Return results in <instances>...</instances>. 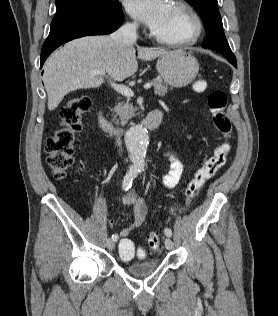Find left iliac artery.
Here are the masks:
<instances>
[{
  "label": "left iliac artery",
  "mask_w": 278,
  "mask_h": 316,
  "mask_svg": "<svg viewBox=\"0 0 278 316\" xmlns=\"http://www.w3.org/2000/svg\"><path fill=\"white\" fill-rule=\"evenodd\" d=\"M164 233H165V235H166L167 237H171V236H172V231H171V229H169V228H166L165 231H164Z\"/></svg>",
  "instance_id": "obj_1"
}]
</instances>
